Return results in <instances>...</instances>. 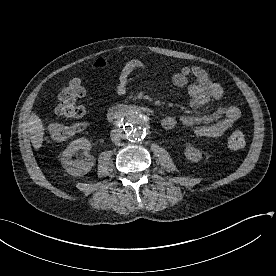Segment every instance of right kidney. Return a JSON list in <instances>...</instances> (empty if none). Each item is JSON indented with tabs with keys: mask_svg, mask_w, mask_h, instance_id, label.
I'll return each mask as SVG.
<instances>
[{
	"mask_svg": "<svg viewBox=\"0 0 276 276\" xmlns=\"http://www.w3.org/2000/svg\"><path fill=\"white\" fill-rule=\"evenodd\" d=\"M91 143L86 138H79L72 141L61 155V164L66 172L72 176H83L95 165L94 157L89 153ZM79 150H83V159H72Z\"/></svg>",
	"mask_w": 276,
	"mask_h": 276,
	"instance_id": "obj_1",
	"label": "right kidney"
}]
</instances>
